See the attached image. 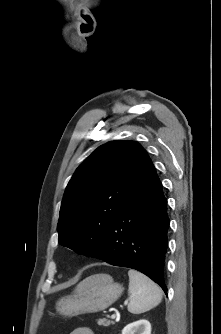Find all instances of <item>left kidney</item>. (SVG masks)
I'll use <instances>...</instances> for the list:
<instances>
[{"instance_id": "5707ae66", "label": "left kidney", "mask_w": 221, "mask_h": 334, "mask_svg": "<svg viewBox=\"0 0 221 334\" xmlns=\"http://www.w3.org/2000/svg\"><path fill=\"white\" fill-rule=\"evenodd\" d=\"M122 334H151V324L145 319L130 323L124 327Z\"/></svg>"}]
</instances>
